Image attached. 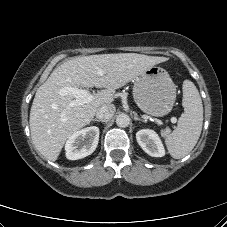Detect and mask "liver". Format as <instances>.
<instances>
[{"label":"liver","mask_w":227,"mask_h":227,"mask_svg":"<svg viewBox=\"0 0 227 227\" xmlns=\"http://www.w3.org/2000/svg\"><path fill=\"white\" fill-rule=\"evenodd\" d=\"M164 61L165 57L118 53L76 57L58 66L37 89L31 106L29 123L36 149L56 161L66 140L89 124L100 106L114 101L116 89ZM99 70L104 72L102 76L97 74ZM65 87L105 89L91 102L70 107L75 97L61 95Z\"/></svg>","instance_id":"obj_1"}]
</instances>
